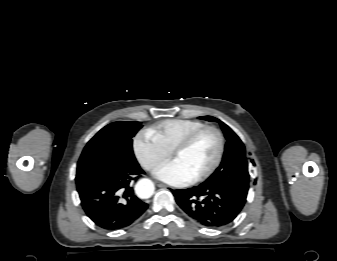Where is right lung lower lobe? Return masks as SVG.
Here are the masks:
<instances>
[{
    "label": "right lung lower lobe",
    "instance_id": "1",
    "mask_svg": "<svg viewBox=\"0 0 337 261\" xmlns=\"http://www.w3.org/2000/svg\"><path fill=\"white\" fill-rule=\"evenodd\" d=\"M144 174L137 166H118L76 182L81 205L99 227L118 230L134 223L148 205L134 195L133 181Z\"/></svg>",
    "mask_w": 337,
    "mask_h": 261
}]
</instances>
